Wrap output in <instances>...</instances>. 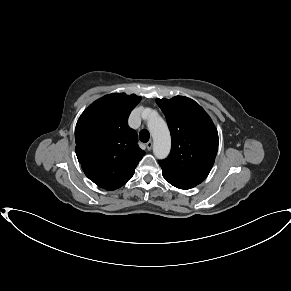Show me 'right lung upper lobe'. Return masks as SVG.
<instances>
[{"mask_svg": "<svg viewBox=\"0 0 291 291\" xmlns=\"http://www.w3.org/2000/svg\"><path fill=\"white\" fill-rule=\"evenodd\" d=\"M140 100L134 94H109L93 102L78 119L76 155L85 175L97 185L128 180L144 156L137 133L127 125Z\"/></svg>", "mask_w": 291, "mask_h": 291, "instance_id": "cb5924a9", "label": "right lung upper lobe"}]
</instances>
